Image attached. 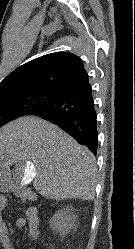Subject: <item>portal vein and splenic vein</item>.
I'll return each mask as SVG.
<instances>
[{
    "label": "portal vein and splenic vein",
    "mask_w": 135,
    "mask_h": 249,
    "mask_svg": "<svg viewBox=\"0 0 135 249\" xmlns=\"http://www.w3.org/2000/svg\"><path fill=\"white\" fill-rule=\"evenodd\" d=\"M27 175H28V177H34L35 176V166L33 164H28V166H27Z\"/></svg>",
    "instance_id": "obj_1"
}]
</instances>
